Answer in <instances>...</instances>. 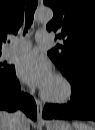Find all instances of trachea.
<instances>
[{
    "label": "trachea",
    "instance_id": "obj_1",
    "mask_svg": "<svg viewBox=\"0 0 95 130\" xmlns=\"http://www.w3.org/2000/svg\"><path fill=\"white\" fill-rule=\"evenodd\" d=\"M38 5V0H27V5H26V21H25V29L24 33H26L31 26L34 18V12L37 8Z\"/></svg>",
    "mask_w": 95,
    "mask_h": 130
}]
</instances>
